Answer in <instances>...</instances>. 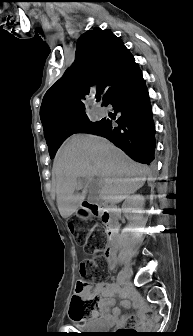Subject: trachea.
<instances>
[{
    "label": "trachea",
    "mask_w": 193,
    "mask_h": 336,
    "mask_svg": "<svg viewBox=\"0 0 193 336\" xmlns=\"http://www.w3.org/2000/svg\"><path fill=\"white\" fill-rule=\"evenodd\" d=\"M96 99H97V101H100V99H101V95H96Z\"/></svg>",
    "instance_id": "obj_1"
}]
</instances>
